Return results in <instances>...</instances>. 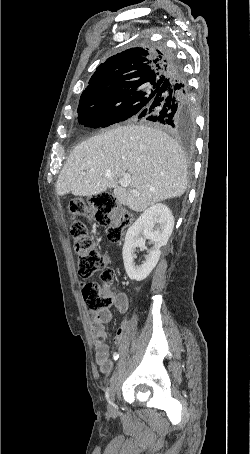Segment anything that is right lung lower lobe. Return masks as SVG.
<instances>
[{
  "label": "right lung lower lobe",
  "instance_id": "98d812e1",
  "mask_svg": "<svg viewBox=\"0 0 250 454\" xmlns=\"http://www.w3.org/2000/svg\"><path fill=\"white\" fill-rule=\"evenodd\" d=\"M163 51L170 62L171 71L153 101L136 118L155 122L178 135L189 137L195 128V117L188 82L177 59L168 50Z\"/></svg>",
  "mask_w": 250,
  "mask_h": 454
}]
</instances>
